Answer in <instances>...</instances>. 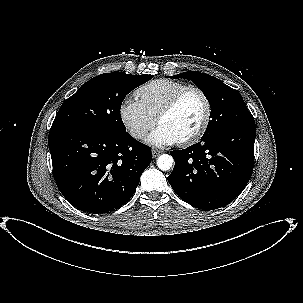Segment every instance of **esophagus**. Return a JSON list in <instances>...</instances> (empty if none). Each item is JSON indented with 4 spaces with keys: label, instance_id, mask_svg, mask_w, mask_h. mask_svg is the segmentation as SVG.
<instances>
[{
    "label": "esophagus",
    "instance_id": "34e87169",
    "mask_svg": "<svg viewBox=\"0 0 303 303\" xmlns=\"http://www.w3.org/2000/svg\"><path fill=\"white\" fill-rule=\"evenodd\" d=\"M161 154V151L157 150V149H153L152 150V157L156 158L157 156H159Z\"/></svg>",
    "mask_w": 303,
    "mask_h": 303
}]
</instances>
